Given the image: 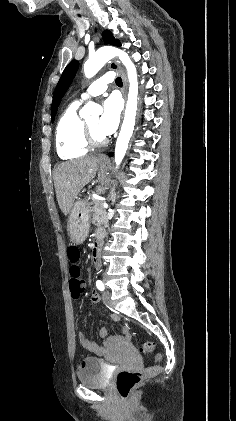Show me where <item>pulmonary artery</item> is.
<instances>
[{
	"mask_svg": "<svg viewBox=\"0 0 236 421\" xmlns=\"http://www.w3.org/2000/svg\"><path fill=\"white\" fill-rule=\"evenodd\" d=\"M114 79L113 72L109 71L108 73L102 75L96 82L91 84L86 92L81 95L80 102L87 100L90 97L97 96L104 92L108 84L111 83Z\"/></svg>",
	"mask_w": 236,
	"mask_h": 421,
	"instance_id": "e3ab8cb5",
	"label": "pulmonary artery"
}]
</instances>
